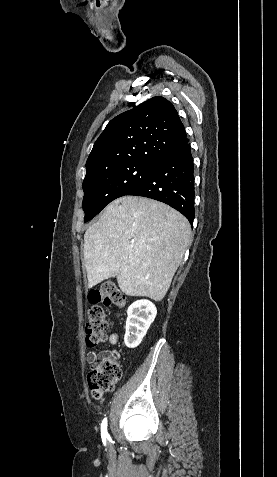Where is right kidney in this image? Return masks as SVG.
<instances>
[{
  "mask_svg": "<svg viewBox=\"0 0 277 477\" xmlns=\"http://www.w3.org/2000/svg\"><path fill=\"white\" fill-rule=\"evenodd\" d=\"M125 345L128 348L137 347L153 323L157 309L148 300H138L132 303L127 310Z\"/></svg>",
  "mask_w": 277,
  "mask_h": 477,
  "instance_id": "right-kidney-1",
  "label": "right kidney"
}]
</instances>
